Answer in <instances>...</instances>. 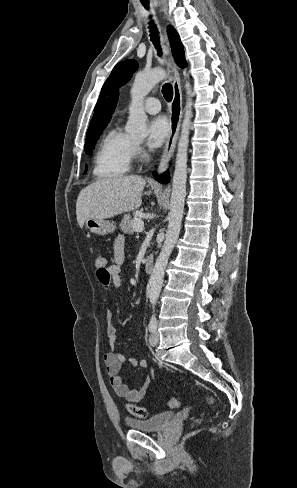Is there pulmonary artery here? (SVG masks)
Instances as JSON below:
<instances>
[{"label":"pulmonary artery","instance_id":"1","mask_svg":"<svg viewBox=\"0 0 297 488\" xmlns=\"http://www.w3.org/2000/svg\"><path fill=\"white\" fill-rule=\"evenodd\" d=\"M144 110L150 114H156L161 110L160 102L157 98L149 97L144 102Z\"/></svg>","mask_w":297,"mask_h":488}]
</instances>
